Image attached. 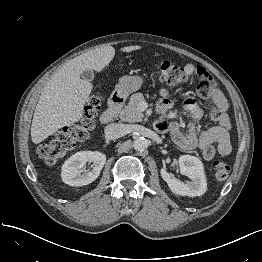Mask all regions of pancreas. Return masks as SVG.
<instances>
[{"instance_id": "1", "label": "pancreas", "mask_w": 262, "mask_h": 262, "mask_svg": "<svg viewBox=\"0 0 262 262\" xmlns=\"http://www.w3.org/2000/svg\"><path fill=\"white\" fill-rule=\"evenodd\" d=\"M145 100L142 93H135L130 97V101L128 105L123 107L119 111V117L123 121L127 122H138L141 121L144 117L142 111L139 109L138 105L140 102H143Z\"/></svg>"}]
</instances>
